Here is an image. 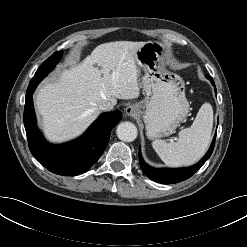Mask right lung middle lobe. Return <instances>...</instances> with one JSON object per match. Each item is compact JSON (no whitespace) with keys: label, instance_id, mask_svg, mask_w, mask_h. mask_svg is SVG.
Segmentation results:
<instances>
[{"label":"right lung middle lobe","instance_id":"obj_1","mask_svg":"<svg viewBox=\"0 0 247 247\" xmlns=\"http://www.w3.org/2000/svg\"><path fill=\"white\" fill-rule=\"evenodd\" d=\"M61 55L62 51H57L45 60L40 65L31 81L40 82L55 67Z\"/></svg>","mask_w":247,"mask_h":247}]
</instances>
